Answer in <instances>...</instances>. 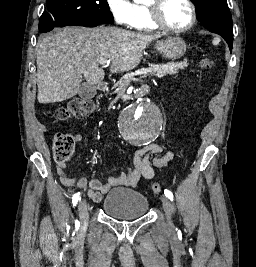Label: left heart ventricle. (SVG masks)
<instances>
[{
	"label": "left heart ventricle",
	"mask_w": 256,
	"mask_h": 267,
	"mask_svg": "<svg viewBox=\"0 0 256 267\" xmlns=\"http://www.w3.org/2000/svg\"><path fill=\"white\" fill-rule=\"evenodd\" d=\"M161 20L174 28L180 29L186 27L191 20L189 7L181 0H168L162 5L159 12ZM143 29L140 31H149L152 29V24L146 21L142 23Z\"/></svg>",
	"instance_id": "obj_1"
}]
</instances>
